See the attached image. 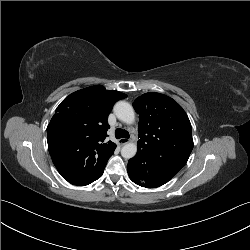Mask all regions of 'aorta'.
Returning a JSON list of instances; mask_svg holds the SVG:
<instances>
[{
    "label": "aorta",
    "mask_w": 250,
    "mask_h": 250,
    "mask_svg": "<svg viewBox=\"0 0 250 250\" xmlns=\"http://www.w3.org/2000/svg\"><path fill=\"white\" fill-rule=\"evenodd\" d=\"M114 113L117 118L127 124H132L135 121V113L133 107L125 101H118L114 106ZM137 145L135 143H126L121 149L123 158L130 159L136 155Z\"/></svg>",
    "instance_id": "obj_1"
}]
</instances>
